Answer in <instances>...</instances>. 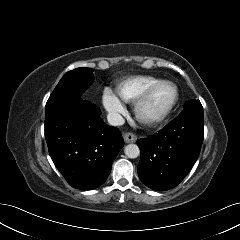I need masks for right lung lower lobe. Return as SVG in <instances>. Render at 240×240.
Here are the masks:
<instances>
[{
	"label": "right lung lower lobe",
	"instance_id": "right-lung-lower-lobe-1",
	"mask_svg": "<svg viewBox=\"0 0 240 240\" xmlns=\"http://www.w3.org/2000/svg\"><path fill=\"white\" fill-rule=\"evenodd\" d=\"M93 103L76 97L46 105L45 138L49 154L74 188L102 185L124 141L121 132L106 125Z\"/></svg>",
	"mask_w": 240,
	"mask_h": 240
}]
</instances>
